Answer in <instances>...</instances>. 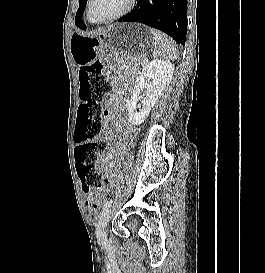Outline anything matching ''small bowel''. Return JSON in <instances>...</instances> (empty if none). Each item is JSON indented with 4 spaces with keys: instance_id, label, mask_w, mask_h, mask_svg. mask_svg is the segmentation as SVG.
<instances>
[{
    "instance_id": "obj_1",
    "label": "small bowel",
    "mask_w": 265,
    "mask_h": 273,
    "mask_svg": "<svg viewBox=\"0 0 265 273\" xmlns=\"http://www.w3.org/2000/svg\"><path fill=\"white\" fill-rule=\"evenodd\" d=\"M109 101L112 104L113 109H117L119 107L118 97L116 95H112L109 98ZM108 123H109V120H107V124ZM121 127L127 128V129L132 128L131 124L126 119L122 120ZM104 136L108 141L112 140L111 133L108 129L105 130ZM115 153H116V150L113 147H109V148L105 149L99 156L100 163H101L102 168L106 174H109V172L112 168ZM92 208H96V206H94Z\"/></svg>"
}]
</instances>
